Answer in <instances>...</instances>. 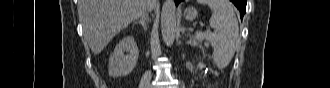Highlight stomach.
I'll return each mask as SVG.
<instances>
[{
	"mask_svg": "<svg viewBox=\"0 0 330 88\" xmlns=\"http://www.w3.org/2000/svg\"><path fill=\"white\" fill-rule=\"evenodd\" d=\"M184 16L187 20H194L197 17V10L193 7H189L185 10Z\"/></svg>",
	"mask_w": 330,
	"mask_h": 88,
	"instance_id": "1",
	"label": "stomach"
}]
</instances>
